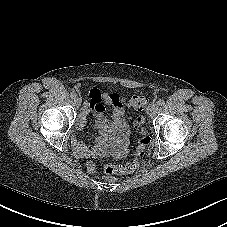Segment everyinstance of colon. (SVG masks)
Masks as SVG:
<instances>
[{"label": "colon", "mask_w": 227, "mask_h": 227, "mask_svg": "<svg viewBox=\"0 0 227 227\" xmlns=\"http://www.w3.org/2000/svg\"><path fill=\"white\" fill-rule=\"evenodd\" d=\"M126 104L129 108H133L137 111H142L148 106V99L142 95H135L131 97L126 102L123 101V104ZM133 127L140 134V138L137 141L135 152L133 155V160L125 165H116L112 163H107L103 166L104 173L108 179H113L117 175H126L133 173L139 167V160L145 153L148 145L150 144V137L148 136L145 127H144V117L137 116L132 119ZM94 163L88 164V170L90 172L94 171Z\"/></svg>", "instance_id": "5ec220e1"}]
</instances>
